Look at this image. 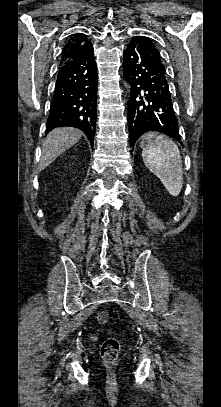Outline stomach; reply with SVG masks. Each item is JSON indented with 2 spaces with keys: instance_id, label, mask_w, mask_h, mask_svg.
Listing matches in <instances>:
<instances>
[{
  "instance_id": "1",
  "label": "stomach",
  "mask_w": 221,
  "mask_h": 407,
  "mask_svg": "<svg viewBox=\"0 0 221 407\" xmlns=\"http://www.w3.org/2000/svg\"><path fill=\"white\" fill-rule=\"evenodd\" d=\"M154 134H148V135H146V136H144L143 138H142V141H141V146L142 147H144V146H146V144L150 141V140H152V138H154Z\"/></svg>"
}]
</instances>
